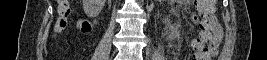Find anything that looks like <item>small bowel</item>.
Masks as SVG:
<instances>
[{
    "label": "small bowel",
    "mask_w": 267,
    "mask_h": 60,
    "mask_svg": "<svg viewBox=\"0 0 267 60\" xmlns=\"http://www.w3.org/2000/svg\"><path fill=\"white\" fill-rule=\"evenodd\" d=\"M193 21L196 24H199V19L196 16H193ZM85 22H88L91 27H92V23L93 21H84L82 22V30L86 33H89L91 29H83V24ZM200 38L203 39L206 43H208V48H209V52H210V57H214L219 53L220 50V46H221V42H222V38H223V31L222 28L219 24V22L216 20V18L214 17L211 21V23L209 24V27L207 30H205L204 32H201L200 34Z\"/></svg>",
    "instance_id": "c3829d8e"
}]
</instances>
